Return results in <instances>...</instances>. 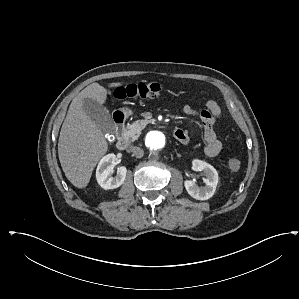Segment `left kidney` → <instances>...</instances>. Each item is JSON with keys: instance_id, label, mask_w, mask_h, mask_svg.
<instances>
[{"instance_id": "obj_1", "label": "left kidney", "mask_w": 299, "mask_h": 299, "mask_svg": "<svg viewBox=\"0 0 299 299\" xmlns=\"http://www.w3.org/2000/svg\"><path fill=\"white\" fill-rule=\"evenodd\" d=\"M192 166L194 170L205 173V186L199 187L194 180H186L184 186L188 194L194 199L208 200L215 193L218 184V173L212 165L198 159L192 161Z\"/></svg>"}]
</instances>
